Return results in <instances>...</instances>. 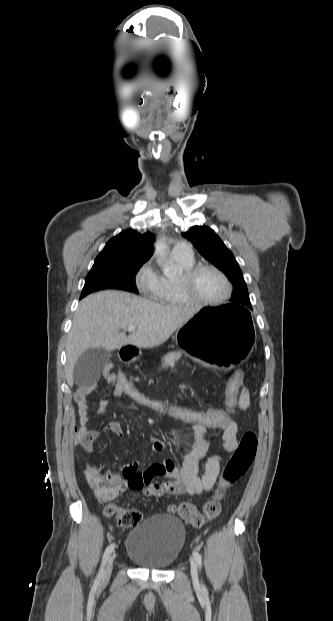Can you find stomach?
<instances>
[{"instance_id": "obj_1", "label": "stomach", "mask_w": 333, "mask_h": 621, "mask_svg": "<svg viewBox=\"0 0 333 621\" xmlns=\"http://www.w3.org/2000/svg\"><path fill=\"white\" fill-rule=\"evenodd\" d=\"M174 339L199 362L213 361L218 373L245 368L253 351L251 313L231 304L208 306L178 328Z\"/></svg>"}]
</instances>
